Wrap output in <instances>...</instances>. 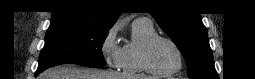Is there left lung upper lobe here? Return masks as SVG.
I'll return each instance as SVG.
<instances>
[{
    "mask_svg": "<svg viewBox=\"0 0 255 79\" xmlns=\"http://www.w3.org/2000/svg\"><path fill=\"white\" fill-rule=\"evenodd\" d=\"M152 2L157 9L152 10L150 14L184 55L188 64L189 77L218 78L208 33L200 14L173 10L174 1L155 0Z\"/></svg>",
    "mask_w": 255,
    "mask_h": 79,
    "instance_id": "left-lung-upper-lobe-1",
    "label": "left lung upper lobe"
}]
</instances>
